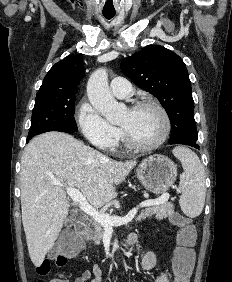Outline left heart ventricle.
<instances>
[{
  "mask_svg": "<svg viewBox=\"0 0 232 282\" xmlns=\"http://www.w3.org/2000/svg\"><path fill=\"white\" fill-rule=\"evenodd\" d=\"M133 141L139 144H149L156 141L164 129L161 114L152 107H142L136 110H126L120 121Z\"/></svg>",
  "mask_w": 232,
  "mask_h": 282,
  "instance_id": "1",
  "label": "left heart ventricle"
}]
</instances>
